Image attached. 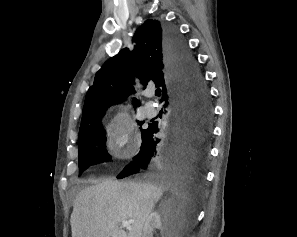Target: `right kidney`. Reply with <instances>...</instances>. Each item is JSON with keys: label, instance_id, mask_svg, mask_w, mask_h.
<instances>
[{"label": "right kidney", "instance_id": "ca27d5eb", "mask_svg": "<svg viewBox=\"0 0 297 237\" xmlns=\"http://www.w3.org/2000/svg\"><path fill=\"white\" fill-rule=\"evenodd\" d=\"M160 229L162 231L163 237H170L171 234L167 231L164 221L162 222V217L159 212H152L146 219L143 227L142 237H153L154 229Z\"/></svg>", "mask_w": 297, "mask_h": 237}]
</instances>
